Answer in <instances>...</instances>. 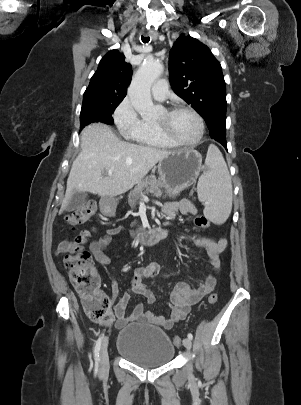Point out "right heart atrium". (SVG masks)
<instances>
[{"instance_id": "d8ad5b80", "label": "right heart atrium", "mask_w": 301, "mask_h": 405, "mask_svg": "<svg viewBox=\"0 0 301 405\" xmlns=\"http://www.w3.org/2000/svg\"><path fill=\"white\" fill-rule=\"evenodd\" d=\"M113 119L124 135H131L142 123L138 113L128 98L123 99L113 113Z\"/></svg>"}]
</instances>
